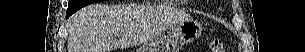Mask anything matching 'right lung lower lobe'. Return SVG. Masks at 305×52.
<instances>
[{
    "label": "right lung lower lobe",
    "mask_w": 305,
    "mask_h": 52,
    "mask_svg": "<svg viewBox=\"0 0 305 52\" xmlns=\"http://www.w3.org/2000/svg\"><path fill=\"white\" fill-rule=\"evenodd\" d=\"M73 13H74L73 10L67 9V12H66V19L69 18V16L72 15Z\"/></svg>",
    "instance_id": "98d812e1"
}]
</instances>
